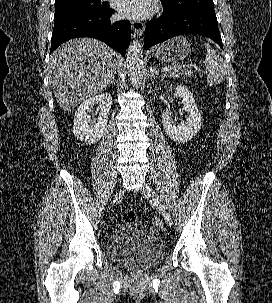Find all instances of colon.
Wrapping results in <instances>:
<instances>
[{
	"label": "colon",
	"instance_id": "1",
	"mask_svg": "<svg viewBox=\"0 0 272 303\" xmlns=\"http://www.w3.org/2000/svg\"><path fill=\"white\" fill-rule=\"evenodd\" d=\"M136 219V213L131 209L125 210L122 214V221L126 224L134 223L136 222Z\"/></svg>",
	"mask_w": 272,
	"mask_h": 303
}]
</instances>
